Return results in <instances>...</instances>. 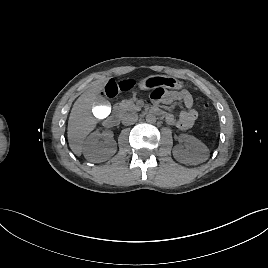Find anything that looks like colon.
<instances>
[{
	"label": "colon",
	"instance_id": "colon-1",
	"mask_svg": "<svg viewBox=\"0 0 268 268\" xmlns=\"http://www.w3.org/2000/svg\"><path fill=\"white\" fill-rule=\"evenodd\" d=\"M134 86V82L132 80H124L120 82L116 81H109L103 90V95L107 98H113L115 97L120 91H126L129 90ZM207 105L205 104L203 106V109L205 110Z\"/></svg>",
	"mask_w": 268,
	"mask_h": 268
}]
</instances>
